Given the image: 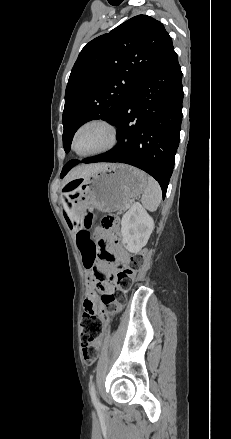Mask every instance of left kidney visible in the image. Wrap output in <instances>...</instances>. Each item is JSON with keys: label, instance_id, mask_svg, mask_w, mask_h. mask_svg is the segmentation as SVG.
<instances>
[{"label": "left kidney", "instance_id": "1", "mask_svg": "<svg viewBox=\"0 0 231 439\" xmlns=\"http://www.w3.org/2000/svg\"><path fill=\"white\" fill-rule=\"evenodd\" d=\"M154 221L139 203L123 215L121 235L124 247L131 253H138L148 242L153 231Z\"/></svg>", "mask_w": 231, "mask_h": 439}]
</instances>
